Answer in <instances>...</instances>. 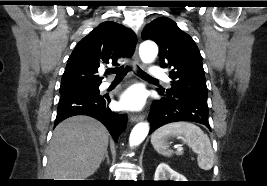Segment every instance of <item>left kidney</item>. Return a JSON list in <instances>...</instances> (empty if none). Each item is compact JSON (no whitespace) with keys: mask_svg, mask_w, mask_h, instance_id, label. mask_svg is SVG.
<instances>
[{"mask_svg":"<svg viewBox=\"0 0 267 186\" xmlns=\"http://www.w3.org/2000/svg\"><path fill=\"white\" fill-rule=\"evenodd\" d=\"M154 181H186L185 177L173 169L166 163H160L156 168Z\"/></svg>","mask_w":267,"mask_h":186,"instance_id":"1","label":"left kidney"}]
</instances>
